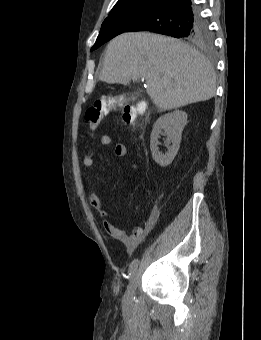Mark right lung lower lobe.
Listing matches in <instances>:
<instances>
[{
    "mask_svg": "<svg viewBox=\"0 0 261 340\" xmlns=\"http://www.w3.org/2000/svg\"><path fill=\"white\" fill-rule=\"evenodd\" d=\"M200 18L198 8L192 0H161L154 9L125 32L152 31L181 37L188 28L196 25Z\"/></svg>",
    "mask_w": 261,
    "mask_h": 340,
    "instance_id": "obj_1",
    "label": "right lung lower lobe"
}]
</instances>
